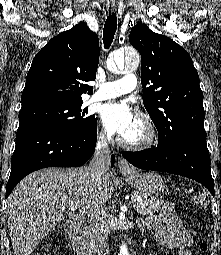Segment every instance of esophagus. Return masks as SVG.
Instances as JSON below:
<instances>
[{
	"mask_svg": "<svg viewBox=\"0 0 221 255\" xmlns=\"http://www.w3.org/2000/svg\"><path fill=\"white\" fill-rule=\"evenodd\" d=\"M110 11L114 12L115 9L111 8ZM118 167H119L121 172H130V171L134 170L133 167L126 160H124L120 156L118 157Z\"/></svg>",
	"mask_w": 221,
	"mask_h": 255,
	"instance_id": "1",
	"label": "esophagus"
}]
</instances>
